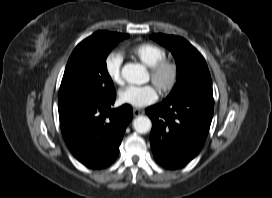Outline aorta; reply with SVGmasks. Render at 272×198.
Wrapping results in <instances>:
<instances>
[{
  "label": "aorta",
  "instance_id": "aorta-1",
  "mask_svg": "<svg viewBox=\"0 0 272 198\" xmlns=\"http://www.w3.org/2000/svg\"><path fill=\"white\" fill-rule=\"evenodd\" d=\"M122 77L131 84H143L147 81L145 66L137 63H127L122 68ZM151 120L146 116H138L133 121V128L140 134H145L151 129Z\"/></svg>",
  "mask_w": 272,
  "mask_h": 198
}]
</instances>
